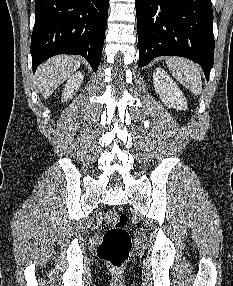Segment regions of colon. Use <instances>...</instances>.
I'll return each mask as SVG.
<instances>
[{
  "label": "colon",
  "mask_w": 233,
  "mask_h": 286,
  "mask_svg": "<svg viewBox=\"0 0 233 286\" xmlns=\"http://www.w3.org/2000/svg\"><path fill=\"white\" fill-rule=\"evenodd\" d=\"M127 221V216L118 210H110L105 216L106 232L97 255L115 270L121 269L130 256L131 239L126 229Z\"/></svg>",
  "instance_id": "obj_1"
}]
</instances>
